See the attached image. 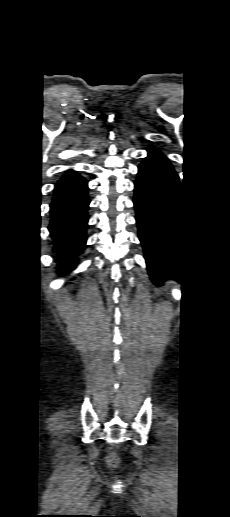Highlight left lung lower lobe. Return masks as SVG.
I'll return each instance as SVG.
<instances>
[{
  "label": "left lung lower lobe",
  "mask_w": 230,
  "mask_h": 517,
  "mask_svg": "<svg viewBox=\"0 0 230 517\" xmlns=\"http://www.w3.org/2000/svg\"><path fill=\"white\" fill-rule=\"evenodd\" d=\"M179 177L167 158L156 149L138 167L134 207L139 239L153 282L179 280Z\"/></svg>",
  "instance_id": "left-lung-lower-lobe-1"
}]
</instances>
